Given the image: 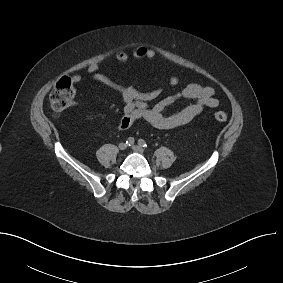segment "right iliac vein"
I'll return each instance as SVG.
<instances>
[{"label": "right iliac vein", "instance_id": "obj_1", "mask_svg": "<svg viewBox=\"0 0 283 283\" xmlns=\"http://www.w3.org/2000/svg\"><path fill=\"white\" fill-rule=\"evenodd\" d=\"M118 148H119L120 150H125V149L127 148V145H126L124 142H122V143H120V144L118 145Z\"/></svg>", "mask_w": 283, "mask_h": 283}]
</instances>
